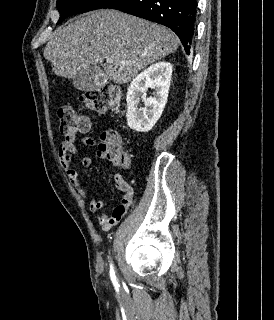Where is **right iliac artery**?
Returning a JSON list of instances; mask_svg holds the SVG:
<instances>
[{
    "label": "right iliac artery",
    "instance_id": "82829eb1",
    "mask_svg": "<svg viewBox=\"0 0 274 320\" xmlns=\"http://www.w3.org/2000/svg\"><path fill=\"white\" fill-rule=\"evenodd\" d=\"M110 277L114 282H116L115 272L112 264L110 265Z\"/></svg>",
    "mask_w": 274,
    "mask_h": 320
}]
</instances>
